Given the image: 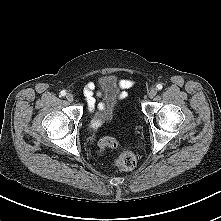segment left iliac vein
I'll return each mask as SVG.
<instances>
[{
  "instance_id": "left-iliac-vein-1",
  "label": "left iliac vein",
  "mask_w": 221,
  "mask_h": 221,
  "mask_svg": "<svg viewBox=\"0 0 221 221\" xmlns=\"http://www.w3.org/2000/svg\"><path fill=\"white\" fill-rule=\"evenodd\" d=\"M157 94V89L156 88H151L148 92L149 98H154Z\"/></svg>"
}]
</instances>
